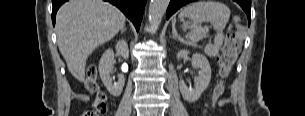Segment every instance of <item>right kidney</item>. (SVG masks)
Returning <instances> with one entry per match:
<instances>
[{"label": "right kidney", "instance_id": "ca27d5eb", "mask_svg": "<svg viewBox=\"0 0 305 116\" xmlns=\"http://www.w3.org/2000/svg\"><path fill=\"white\" fill-rule=\"evenodd\" d=\"M116 51L124 59L129 57V49L125 40H119L115 46ZM114 52L112 49H107L102 55L99 62V73L101 80L109 93L113 96H119L123 90L125 78L122 74L118 76V82L112 84V78L110 76L113 70Z\"/></svg>", "mask_w": 305, "mask_h": 116}]
</instances>
